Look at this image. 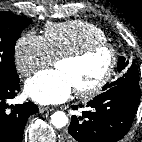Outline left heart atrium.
Listing matches in <instances>:
<instances>
[{
	"label": "left heart atrium",
	"instance_id": "obj_1",
	"mask_svg": "<svg viewBox=\"0 0 142 142\" xmlns=\"http://www.w3.org/2000/svg\"><path fill=\"white\" fill-rule=\"evenodd\" d=\"M74 86L69 76L61 70H42L27 80L26 94L34 101L49 105L65 101Z\"/></svg>",
	"mask_w": 142,
	"mask_h": 142
}]
</instances>
